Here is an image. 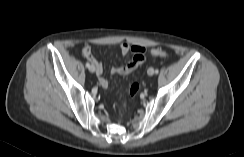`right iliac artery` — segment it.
<instances>
[{
    "label": "right iliac artery",
    "mask_w": 244,
    "mask_h": 157,
    "mask_svg": "<svg viewBox=\"0 0 244 157\" xmlns=\"http://www.w3.org/2000/svg\"><path fill=\"white\" fill-rule=\"evenodd\" d=\"M86 67H87V68L90 67V63H89V62L86 63Z\"/></svg>",
    "instance_id": "obj_1"
}]
</instances>
